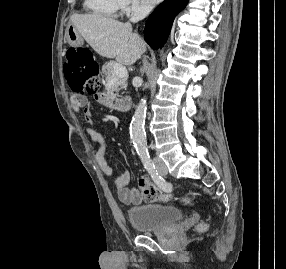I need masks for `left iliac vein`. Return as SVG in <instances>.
<instances>
[{"instance_id": "4c4485c4", "label": "left iliac vein", "mask_w": 286, "mask_h": 269, "mask_svg": "<svg viewBox=\"0 0 286 269\" xmlns=\"http://www.w3.org/2000/svg\"><path fill=\"white\" fill-rule=\"evenodd\" d=\"M157 164H158V170L160 172L161 175H166L167 174V170L166 167L161 163V161L159 159L156 160Z\"/></svg>"}]
</instances>
